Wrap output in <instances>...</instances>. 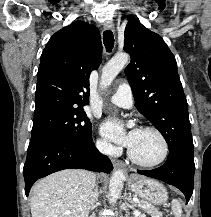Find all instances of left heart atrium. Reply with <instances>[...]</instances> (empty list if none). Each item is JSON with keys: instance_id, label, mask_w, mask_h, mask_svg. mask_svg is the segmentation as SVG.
<instances>
[{"instance_id": "left-heart-atrium-1", "label": "left heart atrium", "mask_w": 211, "mask_h": 217, "mask_svg": "<svg viewBox=\"0 0 211 217\" xmlns=\"http://www.w3.org/2000/svg\"><path fill=\"white\" fill-rule=\"evenodd\" d=\"M101 132L107 139L130 148L135 141L138 130L125 132L121 122L116 119H107L101 125Z\"/></svg>"}]
</instances>
